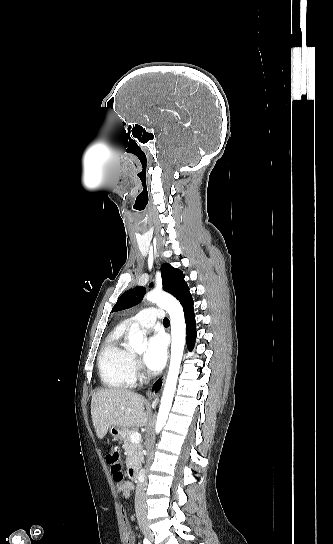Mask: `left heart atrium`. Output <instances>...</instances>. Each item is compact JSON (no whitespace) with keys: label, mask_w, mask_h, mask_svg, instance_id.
<instances>
[{"label":"left heart atrium","mask_w":333,"mask_h":544,"mask_svg":"<svg viewBox=\"0 0 333 544\" xmlns=\"http://www.w3.org/2000/svg\"><path fill=\"white\" fill-rule=\"evenodd\" d=\"M167 358V339L162 333L153 334L144 354V363L150 371L157 372L164 367Z\"/></svg>","instance_id":"39dd6f15"}]
</instances>
